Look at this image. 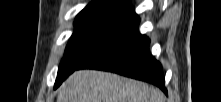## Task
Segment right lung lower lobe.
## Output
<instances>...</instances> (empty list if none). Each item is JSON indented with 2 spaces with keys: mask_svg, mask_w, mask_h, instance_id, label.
<instances>
[{
  "mask_svg": "<svg viewBox=\"0 0 221 102\" xmlns=\"http://www.w3.org/2000/svg\"><path fill=\"white\" fill-rule=\"evenodd\" d=\"M140 20L84 61L77 69H98L149 82L165 94L162 65L150 53V39L138 32ZM76 69V70H77ZM55 83L56 89L64 80Z\"/></svg>",
  "mask_w": 221,
  "mask_h": 102,
  "instance_id": "right-lung-lower-lobe-1",
  "label": "right lung lower lobe"
}]
</instances>
